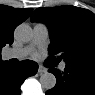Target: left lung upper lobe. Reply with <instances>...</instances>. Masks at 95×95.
<instances>
[{"instance_id":"1","label":"left lung upper lobe","mask_w":95,"mask_h":95,"mask_svg":"<svg viewBox=\"0 0 95 95\" xmlns=\"http://www.w3.org/2000/svg\"><path fill=\"white\" fill-rule=\"evenodd\" d=\"M31 21L47 24L51 38L50 54H58V59L64 58L66 64L95 69L94 13L74 6L38 8Z\"/></svg>"}]
</instances>
